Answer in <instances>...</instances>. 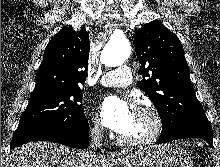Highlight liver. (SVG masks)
I'll return each mask as SVG.
<instances>
[{
	"label": "liver",
	"mask_w": 220,
	"mask_h": 167,
	"mask_svg": "<svg viewBox=\"0 0 220 167\" xmlns=\"http://www.w3.org/2000/svg\"><path fill=\"white\" fill-rule=\"evenodd\" d=\"M79 150L51 142H29L15 148L7 167H79ZM97 159L93 167H99Z\"/></svg>",
	"instance_id": "6515ba94"
}]
</instances>
